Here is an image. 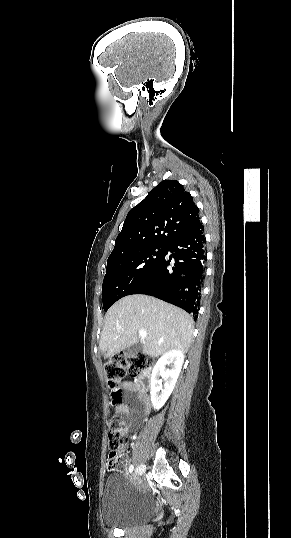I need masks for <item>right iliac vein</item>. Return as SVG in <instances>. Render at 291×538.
<instances>
[{"label": "right iliac vein", "instance_id": "obj_1", "mask_svg": "<svg viewBox=\"0 0 291 538\" xmlns=\"http://www.w3.org/2000/svg\"><path fill=\"white\" fill-rule=\"evenodd\" d=\"M145 471V465L144 464H140L136 470H135V473L138 474V475H142Z\"/></svg>", "mask_w": 291, "mask_h": 538}]
</instances>
